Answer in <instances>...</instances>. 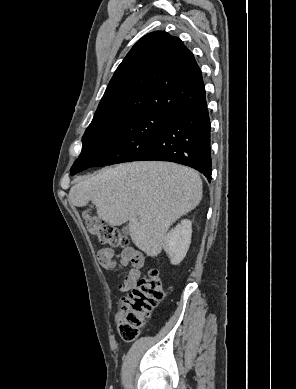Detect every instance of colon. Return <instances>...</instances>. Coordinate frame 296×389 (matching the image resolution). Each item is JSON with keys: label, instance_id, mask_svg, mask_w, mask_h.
<instances>
[{"label": "colon", "instance_id": "colon-1", "mask_svg": "<svg viewBox=\"0 0 296 389\" xmlns=\"http://www.w3.org/2000/svg\"><path fill=\"white\" fill-rule=\"evenodd\" d=\"M83 220L88 232L98 240L113 248L128 244L127 237L115 226L105 223L100 217L84 212ZM164 297L163 284L159 272L150 269L140 278L132 291L122 298V305L117 313V332L122 340H135L144 327L147 318Z\"/></svg>", "mask_w": 296, "mask_h": 389}]
</instances>
